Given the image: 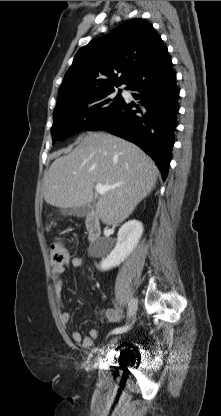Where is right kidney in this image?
<instances>
[{
  "mask_svg": "<svg viewBox=\"0 0 221 416\" xmlns=\"http://www.w3.org/2000/svg\"><path fill=\"white\" fill-rule=\"evenodd\" d=\"M143 234V224L138 220H130L118 231L117 244L100 263L101 270H109L119 266L137 246Z\"/></svg>",
  "mask_w": 221,
  "mask_h": 416,
  "instance_id": "right-kidney-1",
  "label": "right kidney"
}]
</instances>
